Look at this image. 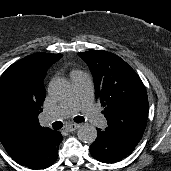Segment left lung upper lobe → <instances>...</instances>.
Returning <instances> with one entry per match:
<instances>
[{"label":"left lung upper lobe","instance_id":"obj_1","mask_svg":"<svg viewBox=\"0 0 171 171\" xmlns=\"http://www.w3.org/2000/svg\"><path fill=\"white\" fill-rule=\"evenodd\" d=\"M78 55L94 78L95 96L104 107L108 129L139 142L148 118V97L138 74L119 56L91 50Z\"/></svg>","mask_w":171,"mask_h":171}]
</instances>
